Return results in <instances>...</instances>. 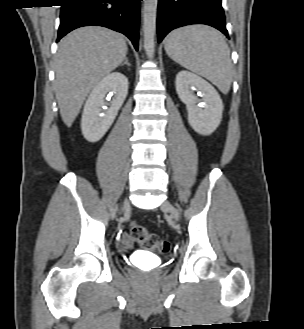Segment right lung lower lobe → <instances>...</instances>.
<instances>
[{
  "label": "right lung lower lobe",
  "instance_id": "1",
  "mask_svg": "<svg viewBox=\"0 0 304 329\" xmlns=\"http://www.w3.org/2000/svg\"><path fill=\"white\" fill-rule=\"evenodd\" d=\"M140 1L63 0L57 41L78 27L97 25L123 33L138 50Z\"/></svg>",
  "mask_w": 304,
  "mask_h": 329
}]
</instances>
